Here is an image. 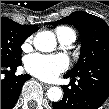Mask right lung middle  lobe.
I'll return each instance as SVG.
<instances>
[{"instance_id":"right-lung-middle-lobe-1","label":"right lung middle lobe","mask_w":109,"mask_h":109,"mask_svg":"<svg viewBox=\"0 0 109 109\" xmlns=\"http://www.w3.org/2000/svg\"><path fill=\"white\" fill-rule=\"evenodd\" d=\"M30 36L23 25L1 18V63L21 61V45Z\"/></svg>"}]
</instances>
